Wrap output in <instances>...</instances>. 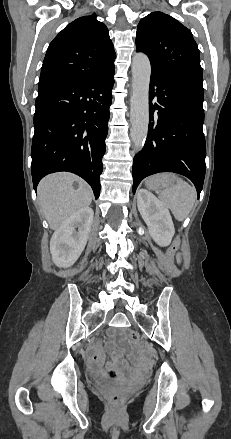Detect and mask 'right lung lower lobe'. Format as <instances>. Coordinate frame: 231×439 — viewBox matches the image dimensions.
<instances>
[{"instance_id": "obj_1", "label": "right lung lower lobe", "mask_w": 231, "mask_h": 439, "mask_svg": "<svg viewBox=\"0 0 231 439\" xmlns=\"http://www.w3.org/2000/svg\"><path fill=\"white\" fill-rule=\"evenodd\" d=\"M114 65L83 82L38 91L32 141L34 189L45 175L69 171L100 195Z\"/></svg>"}]
</instances>
